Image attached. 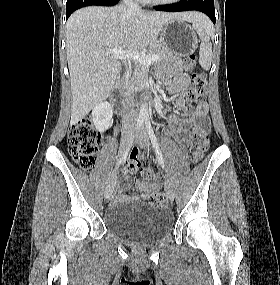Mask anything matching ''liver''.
Instances as JSON below:
<instances>
[{
  "label": "liver",
  "instance_id": "obj_1",
  "mask_svg": "<svg viewBox=\"0 0 280 285\" xmlns=\"http://www.w3.org/2000/svg\"><path fill=\"white\" fill-rule=\"evenodd\" d=\"M195 12L162 13L132 10L124 5L86 7L75 11L66 24V54L70 72L72 109L70 124L83 119L104 101L114 86L121 63L107 50L118 47L139 51L154 45L165 23H195Z\"/></svg>",
  "mask_w": 280,
  "mask_h": 285
}]
</instances>
